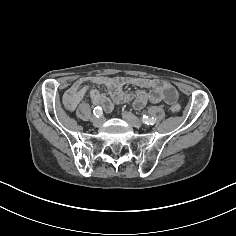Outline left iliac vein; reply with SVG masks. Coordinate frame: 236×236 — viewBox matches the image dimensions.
<instances>
[{"label": "left iliac vein", "instance_id": "obj_1", "mask_svg": "<svg viewBox=\"0 0 236 236\" xmlns=\"http://www.w3.org/2000/svg\"><path fill=\"white\" fill-rule=\"evenodd\" d=\"M122 117L133 127L140 128L142 126V122L130 112H123Z\"/></svg>", "mask_w": 236, "mask_h": 236}]
</instances>
